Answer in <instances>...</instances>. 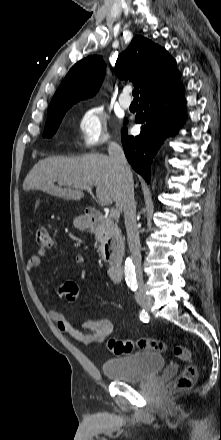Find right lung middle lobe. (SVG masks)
I'll return each mask as SVG.
<instances>
[{
	"label": "right lung middle lobe",
	"instance_id": "1",
	"mask_svg": "<svg viewBox=\"0 0 221 440\" xmlns=\"http://www.w3.org/2000/svg\"><path fill=\"white\" fill-rule=\"evenodd\" d=\"M70 107H71V105L65 106L62 108L48 110V117L46 120V125H45V129L43 132V137L50 138L56 133L66 111Z\"/></svg>",
	"mask_w": 221,
	"mask_h": 440
}]
</instances>
